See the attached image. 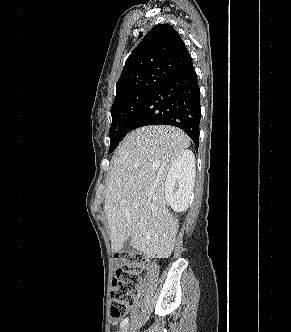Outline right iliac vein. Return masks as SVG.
<instances>
[{"instance_id":"63e3f726","label":"right iliac vein","mask_w":291,"mask_h":332,"mask_svg":"<svg viewBox=\"0 0 291 332\" xmlns=\"http://www.w3.org/2000/svg\"><path fill=\"white\" fill-rule=\"evenodd\" d=\"M121 332H127V327H124Z\"/></svg>"}]
</instances>
